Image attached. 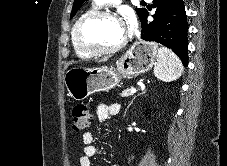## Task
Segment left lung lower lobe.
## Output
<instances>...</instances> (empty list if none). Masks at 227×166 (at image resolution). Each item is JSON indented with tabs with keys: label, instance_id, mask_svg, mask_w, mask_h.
<instances>
[{
	"label": "left lung lower lobe",
	"instance_id": "0a47b994",
	"mask_svg": "<svg viewBox=\"0 0 227 166\" xmlns=\"http://www.w3.org/2000/svg\"><path fill=\"white\" fill-rule=\"evenodd\" d=\"M156 12L154 21L147 23L146 10L142 24L141 38L155 41L171 48L181 59L184 66L188 64L187 32L188 23L183 0H153Z\"/></svg>",
	"mask_w": 227,
	"mask_h": 166
}]
</instances>
